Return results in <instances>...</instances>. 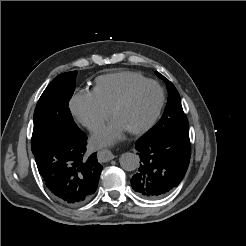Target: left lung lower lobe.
Returning a JSON list of instances; mask_svg holds the SVG:
<instances>
[{
    "mask_svg": "<svg viewBox=\"0 0 246 246\" xmlns=\"http://www.w3.org/2000/svg\"><path fill=\"white\" fill-rule=\"evenodd\" d=\"M141 164L132 177V188L142 197L167 195L183 179L190 161L189 132H168L142 136L136 142Z\"/></svg>",
    "mask_w": 246,
    "mask_h": 246,
    "instance_id": "1",
    "label": "left lung lower lobe"
}]
</instances>
